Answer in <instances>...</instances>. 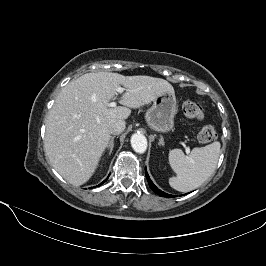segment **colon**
<instances>
[{"instance_id": "obj_1", "label": "colon", "mask_w": 266, "mask_h": 266, "mask_svg": "<svg viewBox=\"0 0 266 266\" xmlns=\"http://www.w3.org/2000/svg\"><path fill=\"white\" fill-rule=\"evenodd\" d=\"M183 112L189 119L202 120L205 116V106L199 102L187 100L183 104ZM197 137L201 144H208L217 138V132L213 125L206 124L200 129Z\"/></svg>"}]
</instances>
